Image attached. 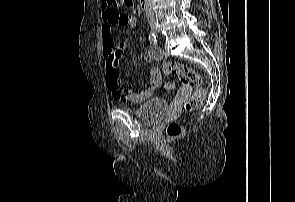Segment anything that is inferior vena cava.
<instances>
[{"mask_svg": "<svg viewBox=\"0 0 295 202\" xmlns=\"http://www.w3.org/2000/svg\"><path fill=\"white\" fill-rule=\"evenodd\" d=\"M146 17L148 20H154V12L151 6V0H146Z\"/></svg>", "mask_w": 295, "mask_h": 202, "instance_id": "1", "label": "inferior vena cava"}]
</instances>
